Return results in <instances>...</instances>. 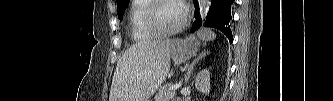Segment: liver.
Here are the masks:
<instances>
[{"mask_svg":"<svg viewBox=\"0 0 333 101\" xmlns=\"http://www.w3.org/2000/svg\"><path fill=\"white\" fill-rule=\"evenodd\" d=\"M172 43L166 39L132 45L117 63L109 101H147L168 75Z\"/></svg>","mask_w":333,"mask_h":101,"instance_id":"6515ba94","label":"liver"}]
</instances>
